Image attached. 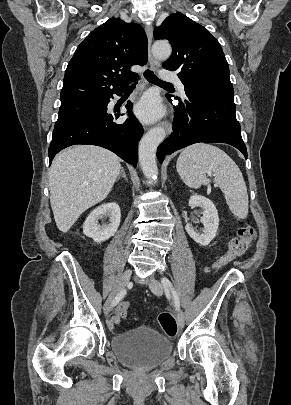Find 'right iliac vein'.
Wrapping results in <instances>:
<instances>
[{"label":"right iliac vein","mask_w":291,"mask_h":405,"mask_svg":"<svg viewBox=\"0 0 291 405\" xmlns=\"http://www.w3.org/2000/svg\"><path fill=\"white\" fill-rule=\"evenodd\" d=\"M132 271L131 270H126L122 276L120 277L116 287L112 291V293L109 295L108 299L106 300L104 304V313L108 314L112 307H113V300L117 296L119 292H121L126 285L128 284L130 277H131Z\"/></svg>","instance_id":"obj_1"}]
</instances>
